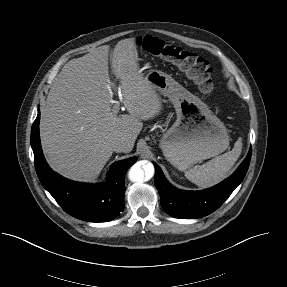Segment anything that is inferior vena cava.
I'll list each match as a JSON object with an SVG mask.
<instances>
[{
    "label": "inferior vena cava",
    "mask_w": 287,
    "mask_h": 287,
    "mask_svg": "<svg viewBox=\"0 0 287 287\" xmlns=\"http://www.w3.org/2000/svg\"><path fill=\"white\" fill-rule=\"evenodd\" d=\"M126 141L123 138H113L110 142V147L113 151L123 152L126 148Z\"/></svg>",
    "instance_id": "1"
}]
</instances>
